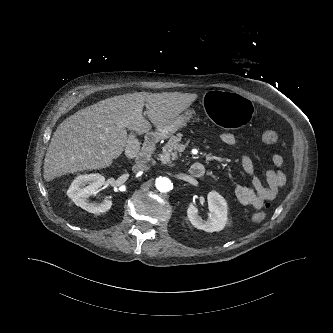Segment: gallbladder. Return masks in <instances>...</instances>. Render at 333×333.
<instances>
[{"label": "gallbladder", "mask_w": 333, "mask_h": 333, "mask_svg": "<svg viewBox=\"0 0 333 333\" xmlns=\"http://www.w3.org/2000/svg\"><path fill=\"white\" fill-rule=\"evenodd\" d=\"M128 145L129 146L139 145V141L137 140V138L135 136H131Z\"/></svg>", "instance_id": "1"}]
</instances>
